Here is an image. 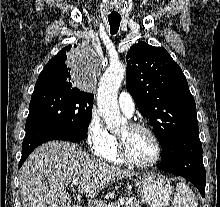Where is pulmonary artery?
Here are the masks:
<instances>
[{
    "label": "pulmonary artery",
    "instance_id": "obj_1",
    "mask_svg": "<svg viewBox=\"0 0 220 207\" xmlns=\"http://www.w3.org/2000/svg\"><path fill=\"white\" fill-rule=\"evenodd\" d=\"M120 109L128 116H131L135 110V103L128 92H121L118 97Z\"/></svg>",
    "mask_w": 220,
    "mask_h": 207
}]
</instances>
